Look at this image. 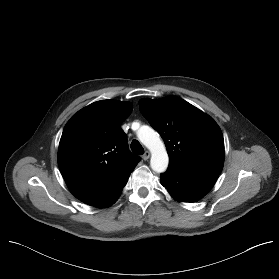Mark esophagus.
I'll return each mask as SVG.
<instances>
[{
    "label": "esophagus",
    "mask_w": 279,
    "mask_h": 279,
    "mask_svg": "<svg viewBox=\"0 0 279 279\" xmlns=\"http://www.w3.org/2000/svg\"><path fill=\"white\" fill-rule=\"evenodd\" d=\"M142 158H143V160H148L149 158H150V152L149 151H146L145 153H144V155L142 156Z\"/></svg>",
    "instance_id": "esophagus-1"
}]
</instances>
